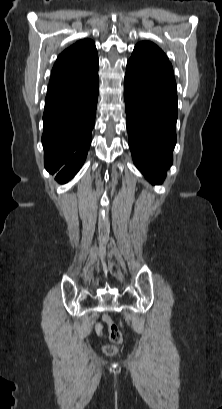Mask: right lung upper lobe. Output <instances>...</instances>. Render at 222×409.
<instances>
[{"instance_id":"obj_1","label":"right lung upper lobe","mask_w":222,"mask_h":409,"mask_svg":"<svg viewBox=\"0 0 222 409\" xmlns=\"http://www.w3.org/2000/svg\"><path fill=\"white\" fill-rule=\"evenodd\" d=\"M98 70L95 44L90 39L79 40L57 58L51 73L47 96H62L81 90L82 77Z\"/></svg>"}]
</instances>
